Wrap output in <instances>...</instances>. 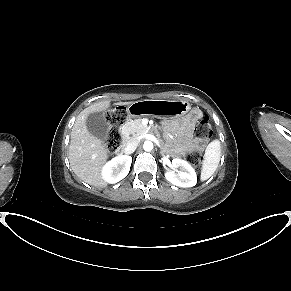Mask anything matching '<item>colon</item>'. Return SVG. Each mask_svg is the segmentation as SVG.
<instances>
[{
    "label": "colon",
    "mask_w": 291,
    "mask_h": 291,
    "mask_svg": "<svg viewBox=\"0 0 291 291\" xmlns=\"http://www.w3.org/2000/svg\"><path fill=\"white\" fill-rule=\"evenodd\" d=\"M128 119V110L125 107H115L108 110L106 120L110 128L106 135V147L110 152H115L116 148L122 143L119 127ZM194 137L199 142L206 141L211 134V123L208 117H202L195 125L193 130ZM194 166H200L202 154L198 150L189 152L186 156Z\"/></svg>",
    "instance_id": "1"
}]
</instances>
